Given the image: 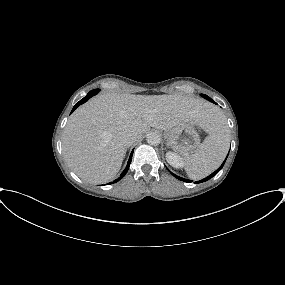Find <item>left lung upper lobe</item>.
<instances>
[{"label": "left lung upper lobe", "instance_id": "left-lung-upper-lobe-1", "mask_svg": "<svg viewBox=\"0 0 285 285\" xmlns=\"http://www.w3.org/2000/svg\"><path fill=\"white\" fill-rule=\"evenodd\" d=\"M205 99H207V100H209V101H211V102H213V103H215L210 97H208L207 95H202Z\"/></svg>", "mask_w": 285, "mask_h": 285}]
</instances>
